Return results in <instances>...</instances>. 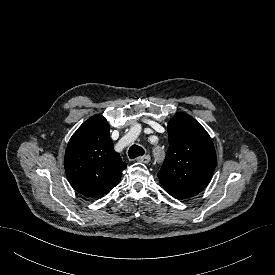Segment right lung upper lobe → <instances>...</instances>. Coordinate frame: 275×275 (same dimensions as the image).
<instances>
[{
    "label": "right lung upper lobe",
    "instance_id": "right-lung-upper-lobe-1",
    "mask_svg": "<svg viewBox=\"0 0 275 275\" xmlns=\"http://www.w3.org/2000/svg\"><path fill=\"white\" fill-rule=\"evenodd\" d=\"M110 127L102 115L85 121L72 135L64 158L67 178L79 193L100 198L120 182L126 164L114 151Z\"/></svg>",
    "mask_w": 275,
    "mask_h": 275
}]
</instances>
